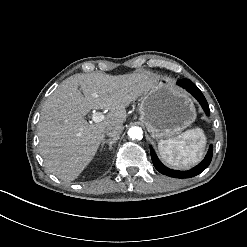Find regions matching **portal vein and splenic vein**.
Instances as JSON below:
<instances>
[{
	"label": "portal vein and splenic vein",
	"mask_w": 247,
	"mask_h": 247,
	"mask_svg": "<svg viewBox=\"0 0 247 247\" xmlns=\"http://www.w3.org/2000/svg\"><path fill=\"white\" fill-rule=\"evenodd\" d=\"M105 119V114L102 112H96L93 114V121L98 123Z\"/></svg>",
	"instance_id": "1"
}]
</instances>
